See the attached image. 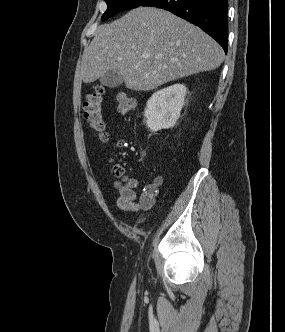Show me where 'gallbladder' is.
I'll return each instance as SVG.
<instances>
[{
    "label": "gallbladder",
    "mask_w": 285,
    "mask_h": 332,
    "mask_svg": "<svg viewBox=\"0 0 285 332\" xmlns=\"http://www.w3.org/2000/svg\"><path fill=\"white\" fill-rule=\"evenodd\" d=\"M124 81L123 76L115 70L107 71L101 78L100 82L109 87V88H116L120 86Z\"/></svg>",
    "instance_id": "obj_1"
}]
</instances>
